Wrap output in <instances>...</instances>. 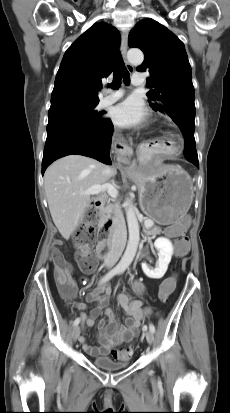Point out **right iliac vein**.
Masks as SVG:
<instances>
[{
	"instance_id": "63e3f726",
	"label": "right iliac vein",
	"mask_w": 230,
	"mask_h": 413,
	"mask_svg": "<svg viewBox=\"0 0 230 413\" xmlns=\"http://www.w3.org/2000/svg\"><path fill=\"white\" fill-rule=\"evenodd\" d=\"M79 335H80V327L75 326L72 329V339H73L74 342L78 339Z\"/></svg>"
}]
</instances>
